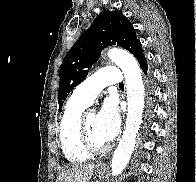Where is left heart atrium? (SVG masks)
Segmentation results:
<instances>
[{
  "label": "left heart atrium",
  "instance_id": "1",
  "mask_svg": "<svg viewBox=\"0 0 196 182\" xmlns=\"http://www.w3.org/2000/svg\"><path fill=\"white\" fill-rule=\"evenodd\" d=\"M120 115L117 102L113 98L107 99L97 114V129L106 143L112 141L120 129Z\"/></svg>",
  "mask_w": 196,
  "mask_h": 182
}]
</instances>
